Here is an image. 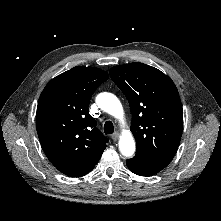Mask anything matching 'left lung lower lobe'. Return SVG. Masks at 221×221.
<instances>
[{
	"instance_id": "obj_1",
	"label": "left lung lower lobe",
	"mask_w": 221,
	"mask_h": 221,
	"mask_svg": "<svg viewBox=\"0 0 221 221\" xmlns=\"http://www.w3.org/2000/svg\"><path fill=\"white\" fill-rule=\"evenodd\" d=\"M126 164L130 171L140 176H152L166 167L145 161L138 157L128 159Z\"/></svg>"
}]
</instances>
